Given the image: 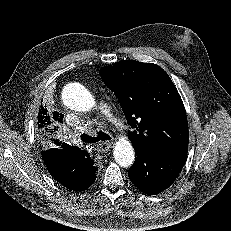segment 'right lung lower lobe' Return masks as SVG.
Masks as SVG:
<instances>
[{"label": "right lung lower lobe", "instance_id": "1", "mask_svg": "<svg viewBox=\"0 0 231 231\" xmlns=\"http://www.w3.org/2000/svg\"><path fill=\"white\" fill-rule=\"evenodd\" d=\"M85 154H86V157L84 159L81 156H78L77 161L82 162L85 165H87V168L85 171L86 173L81 183L75 187L74 191H83L89 188V186H91L96 179V175H95L96 167L94 166V161L91 159L88 152L85 151ZM70 190H73V189H70Z\"/></svg>", "mask_w": 231, "mask_h": 231}]
</instances>
